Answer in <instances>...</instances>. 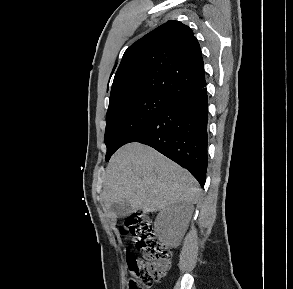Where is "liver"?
I'll list each match as a JSON object with an SVG mask.
<instances>
[{
    "label": "liver",
    "mask_w": 293,
    "mask_h": 289,
    "mask_svg": "<svg viewBox=\"0 0 293 289\" xmlns=\"http://www.w3.org/2000/svg\"><path fill=\"white\" fill-rule=\"evenodd\" d=\"M199 196L187 170L140 143L121 147L106 168L102 197L108 210L127 200L134 211L156 212L178 202L194 204Z\"/></svg>",
    "instance_id": "6515ba94"
}]
</instances>
